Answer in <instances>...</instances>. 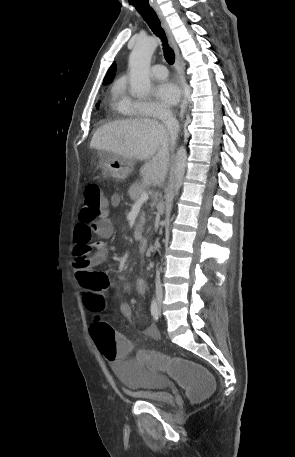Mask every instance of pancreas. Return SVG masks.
<instances>
[{
    "mask_svg": "<svg viewBox=\"0 0 295 457\" xmlns=\"http://www.w3.org/2000/svg\"><path fill=\"white\" fill-rule=\"evenodd\" d=\"M143 192H146V186L140 182H135L134 184H132L128 190V195L130 196L131 200L133 201H136L139 199V197L141 196V194ZM145 222V214L142 213L140 218H139V222L136 224L135 226V237L136 238H139L142 234V230H143V224Z\"/></svg>",
    "mask_w": 295,
    "mask_h": 457,
    "instance_id": "1",
    "label": "pancreas"
}]
</instances>
